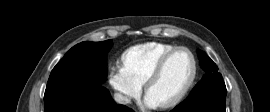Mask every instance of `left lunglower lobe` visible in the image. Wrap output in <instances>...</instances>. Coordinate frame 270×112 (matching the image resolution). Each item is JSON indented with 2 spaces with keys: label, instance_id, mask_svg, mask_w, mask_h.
<instances>
[{
  "label": "left lung lower lobe",
  "instance_id": "left-lung-lower-lobe-1",
  "mask_svg": "<svg viewBox=\"0 0 270 112\" xmlns=\"http://www.w3.org/2000/svg\"><path fill=\"white\" fill-rule=\"evenodd\" d=\"M226 92L225 83L218 80L170 112H225Z\"/></svg>",
  "mask_w": 270,
  "mask_h": 112
}]
</instances>
